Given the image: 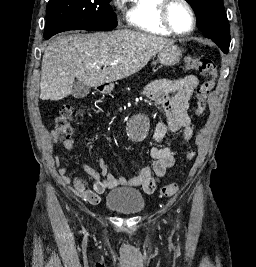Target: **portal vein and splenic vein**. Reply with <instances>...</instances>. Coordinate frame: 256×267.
Here are the masks:
<instances>
[{"instance_id": "obj_1", "label": "portal vein and splenic vein", "mask_w": 256, "mask_h": 267, "mask_svg": "<svg viewBox=\"0 0 256 267\" xmlns=\"http://www.w3.org/2000/svg\"><path fill=\"white\" fill-rule=\"evenodd\" d=\"M98 64H111V62H108V60H101Z\"/></svg>"}]
</instances>
